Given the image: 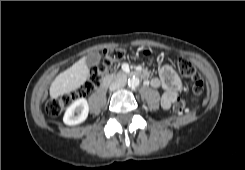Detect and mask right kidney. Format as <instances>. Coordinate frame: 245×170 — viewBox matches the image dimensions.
<instances>
[{"instance_id":"right-kidney-1","label":"right kidney","mask_w":245,"mask_h":170,"mask_svg":"<svg viewBox=\"0 0 245 170\" xmlns=\"http://www.w3.org/2000/svg\"><path fill=\"white\" fill-rule=\"evenodd\" d=\"M89 106L85 98L74 101L67 109L63 117L66 125H77L84 122L88 117Z\"/></svg>"}]
</instances>
